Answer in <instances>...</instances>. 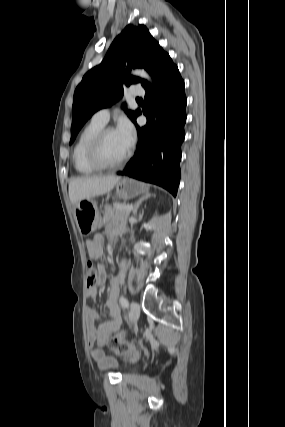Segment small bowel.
Listing matches in <instances>:
<instances>
[{"label": "small bowel", "instance_id": "c3829d8e", "mask_svg": "<svg viewBox=\"0 0 285 427\" xmlns=\"http://www.w3.org/2000/svg\"><path fill=\"white\" fill-rule=\"evenodd\" d=\"M104 237L101 234H95L86 243L87 251L93 259H99L103 254ZM124 275V267L118 277L112 278L110 281V294L106 300V308L111 316V320L102 322L97 311L89 309L87 332L89 342L93 345L91 349V357L102 368L114 365V361L104 352L109 339L120 330L123 320L121 310L117 303V298L120 291V284ZM106 279V272L102 265L98 267V275L96 285L88 288L87 296L94 298L97 295V286L102 285Z\"/></svg>", "mask_w": 285, "mask_h": 427}]
</instances>
